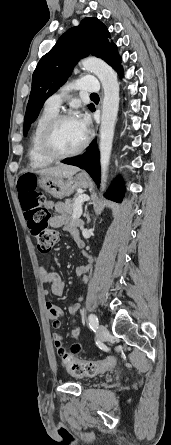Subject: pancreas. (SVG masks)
Returning a JSON list of instances; mask_svg holds the SVG:
<instances>
[{
	"label": "pancreas",
	"instance_id": "obj_1",
	"mask_svg": "<svg viewBox=\"0 0 171 445\" xmlns=\"http://www.w3.org/2000/svg\"><path fill=\"white\" fill-rule=\"evenodd\" d=\"M79 196L74 197L73 199H68L65 201V203L58 202L55 205V211L60 214H68L73 215L76 201L78 200Z\"/></svg>",
	"mask_w": 171,
	"mask_h": 445
}]
</instances>
